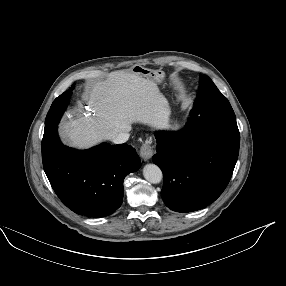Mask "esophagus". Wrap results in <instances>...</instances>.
Wrapping results in <instances>:
<instances>
[{
  "label": "esophagus",
  "instance_id": "1",
  "mask_svg": "<svg viewBox=\"0 0 286 286\" xmlns=\"http://www.w3.org/2000/svg\"><path fill=\"white\" fill-rule=\"evenodd\" d=\"M140 157L144 160V161H149L153 154H154V149L153 146L151 145V140H147L143 146L140 149Z\"/></svg>",
  "mask_w": 286,
  "mask_h": 286
}]
</instances>
